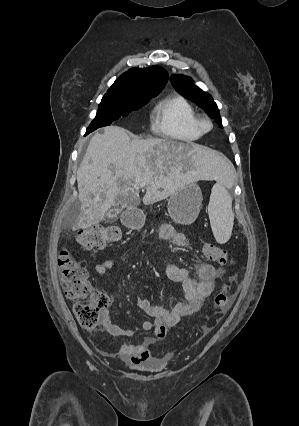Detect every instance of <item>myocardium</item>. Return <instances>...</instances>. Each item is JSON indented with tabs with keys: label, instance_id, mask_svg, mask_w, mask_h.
<instances>
[{
	"label": "myocardium",
	"instance_id": "obj_1",
	"mask_svg": "<svg viewBox=\"0 0 299 426\" xmlns=\"http://www.w3.org/2000/svg\"><path fill=\"white\" fill-rule=\"evenodd\" d=\"M197 127L201 133H208L213 129V123L210 118L202 117L198 118Z\"/></svg>",
	"mask_w": 299,
	"mask_h": 426
}]
</instances>
